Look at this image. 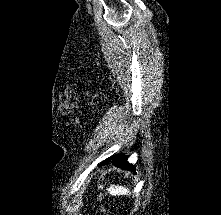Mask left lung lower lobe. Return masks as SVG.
Here are the masks:
<instances>
[{
  "label": "left lung lower lobe",
  "mask_w": 221,
  "mask_h": 215,
  "mask_svg": "<svg viewBox=\"0 0 221 215\" xmlns=\"http://www.w3.org/2000/svg\"><path fill=\"white\" fill-rule=\"evenodd\" d=\"M110 161H112L113 165H115L116 167L123 168V169L129 170V171H133V173H135L134 172L135 168L127 162V157H125L124 155H115L113 157H109L106 160H104L103 162H101V164L106 165Z\"/></svg>",
  "instance_id": "1"
}]
</instances>
